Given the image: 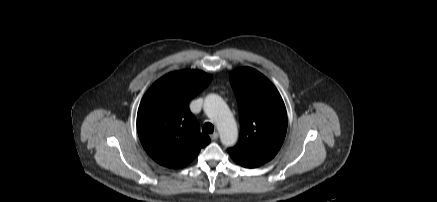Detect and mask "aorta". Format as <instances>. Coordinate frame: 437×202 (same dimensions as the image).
I'll list each match as a JSON object with an SVG mask.
<instances>
[{
	"label": "aorta",
	"mask_w": 437,
	"mask_h": 202,
	"mask_svg": "<svg viewBox=\"0 0 437 202\" xmlns=\"http://www.w3.org/2000/svg\"><path fill=\"white\" fill-rule=\"evenodd\" d=\"M204 111L215 123L221 143L227 147L233 146L237 141L238 130L235 119L225 101L216 94H209L204 102Z\"/></svg>",
	"instance_id": "762f6f07"
}]
</instances>
